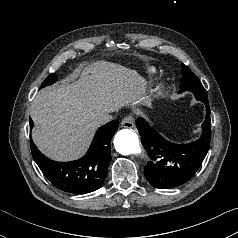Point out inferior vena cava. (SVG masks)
Masks as SVG:
<instances>
[{
	"label": "inferior vena cava",
	"instance_id": "1",
	"mask_svg": "<svg viewBox=\"0 0 238 238\" xmlns=\"http://www.w3.org/2000/svg\"><path fill=\"white\" fill-rule=\"evenodd\" d=\"M111 119H112L111 115L101 114V115L96 117V122H97L98 125H102V124H105L106 122H108Z\"/></svg>",
	"mask_w": 238,
	"mask_h": 238
}]
</instances>
